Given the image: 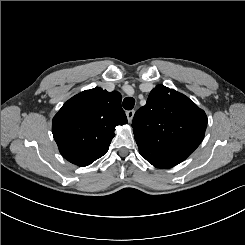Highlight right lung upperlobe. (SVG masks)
Returning a JSON list of instances; mask_svg holds the SVG:
<instances>
[{"mask_svg": "<svg viewBox=\"0 0 245 245\" xmlns=\"http://www.w3.org/2000/svg\"><path fill=\"white\" fill-rule=\"evenodd\" d=\"M121 95L100 87L69 99L53 118L52 132L62 156L87 166L103 156L115 136V127L127 123Z\"/></svg>", "mask_w": 245, "mask_h": 245, "instance_id": "right-lung-upper-lobe-1", "label": "right lung upper lobe"}]
</instances>
